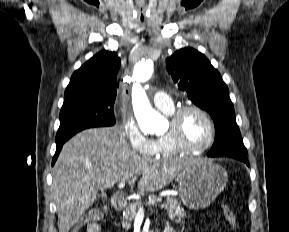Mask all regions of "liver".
<instances>
[{
	"mask_svg": "<svg viewBox=\"0 0 289 232\" xmlns=\"http://www.w3.org/2000/svg\"><path fill=\"white\" fill-rule=\"evenodd\" d=\"M138 155L118 127L93 128L67 141L54 165L52 195L59 232H68L96 200L99 190L116 183L154 192L170 184L191 162Z\"/></svg>",
	"mask_w": 289,
	"mask_h": 232,
	"instance_id": "liver-1",
	"label": "liver"
}]
</instances>
